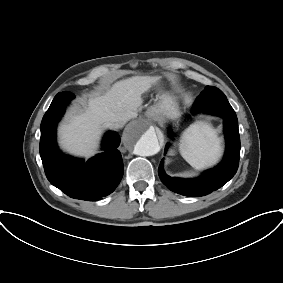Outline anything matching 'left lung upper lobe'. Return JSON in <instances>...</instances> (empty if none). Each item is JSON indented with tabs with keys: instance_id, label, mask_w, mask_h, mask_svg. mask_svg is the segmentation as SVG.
Listing matches in <instances>:
<instances>
[{
	"instance_id": "obj_1",
	"label": "left lung upper lobe",
	"mask_w": 283,
	"mask_h": 283,
	"mask_svg": "<svg viewBox=\"0 0 283 283\" xmlns=\"http://www.w3.org/2000/svg\"><path fill=\"white\" fill-rule=\"evenodd\" d=\"M204 92L209 98H212V100H226L227 99L225 94L216 87L206 86Z\"/></svg>"
}]
</instances>
